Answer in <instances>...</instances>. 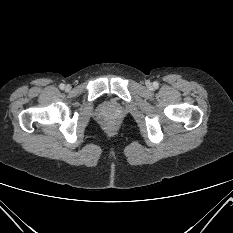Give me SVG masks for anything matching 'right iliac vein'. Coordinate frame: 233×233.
Wrapping results in <instances>:
<instances>
[{
    "label": "right iliac vein",
    "instance_id": "1",
    "mask_svg": "<svg viewBox=\"0 0 233 233\" xmlns=\"http://www.w3.org/2000/svg\"><path fill=\"white\" fill-rule=\"evenodd\" d=\"M65 89H66V91H69L71 89V86L67 85Z\"/></svg>",
    "mask_w": 233,
    "mask_h": 233
}]
</instances>
